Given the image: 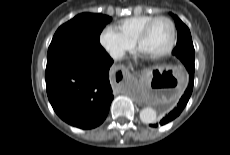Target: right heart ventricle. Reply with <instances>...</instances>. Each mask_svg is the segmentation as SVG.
<instances>
[{
	"mask_svg": "<svg viewBox=\"0 0 230 155\" xmlns=\"http://www.w3.org/2000/svg\"><path fill=\"white\" fill-rule=\"evenodd\" d=\"M154 17L155 16L153 15H137L128 17L118 21L115 25V29L126 39L134 43L143 26Z\"/></svg>",
	"mask_w": 230,
	"mask_h": 155,
	"instance_id": "right-heart-ventricle-1",
	"label": "right heart ventricle"
}]
</instances>
